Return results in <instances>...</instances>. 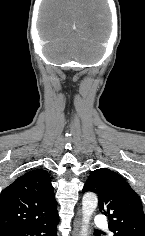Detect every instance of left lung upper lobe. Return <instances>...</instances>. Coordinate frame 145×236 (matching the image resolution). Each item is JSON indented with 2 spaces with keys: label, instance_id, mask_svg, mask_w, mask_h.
<instances>
[{
  "label": "left lung upper lobe",
  "instance_id": "1",
  "mask_svg": "<svg viewBox=\"0 0 145 236\" xmlns=\"http://www.w3.org/2000/svg\"><path fill=\"white\" fill-rule=\"evenodd\" d=\"M98 195L99 210L108 216L114 236H145V215L137 193L114 171L100 168L90 173L83 193Z\"/></svg>",
  "mask_w": 145,
  "mask_h": 236
}]
</instances>
